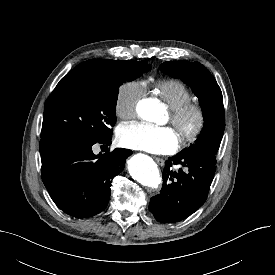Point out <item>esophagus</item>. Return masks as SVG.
Segmentation results:
<instances>
[{
	"label": "esophagus",
	"mask_w": 275,
	"mask_h": 275,
	"mask_svg": "<svg viewBox=\"0 0 275 275\" xmlns=\"http://www.w3.org/2000/svg\"><path fill=\"white\" fill-rule=\"evenodd\" d=\"M155 161L158 163V165L163 166L164 165V160L159 157H154Z\"/></svg>",
	"instance_id": "1"
}]
</instances>
